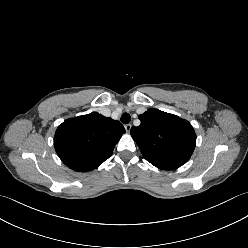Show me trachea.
I'll use <instances>...</instances> for the list:
<instances>
[{
	"instance_id": "3493384b",
	"label": "trachea",
	"mask_w": 248,
	"mask_h": 248,
	"mask_svg": "<svg viewBox=\"0 0 248 248\" xmlns=\"http://www.w3.org/2000/svg\"><path fill=\"white\" fill-rule=\"evenodd\" d=\"M130 120H131V116L128 113L122 114V116H121V122L123 124H128L130 122Z\"/></svg>"
}]
</instances>
